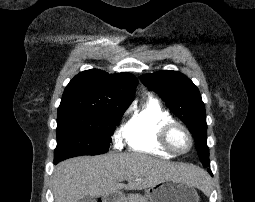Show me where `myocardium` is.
Here are the masks:
<instances>
[{
    "label": "myocardium",
    "instance_id": "obj_1",
    "mask_svg": "<svg viewBox=\"0 0 255 202\" xmlns=\"http://www.w3.org/2000/svg\"><path fill=\"white\" fill-rule=\"evenodd\" d=\"M175 129H181L184 131L189 139V147L185 151L176 150L170 142V136ZM159 142L166 151L173 155H183L188 153L194 144L193 136L190 130L184 124L177 121L169 122L161 128L159 133Z\"/></svg>",
    "mask_w": 255,
    "mask_h": 202
}]
</instances>
